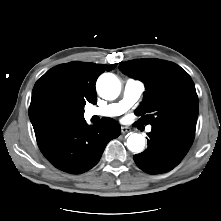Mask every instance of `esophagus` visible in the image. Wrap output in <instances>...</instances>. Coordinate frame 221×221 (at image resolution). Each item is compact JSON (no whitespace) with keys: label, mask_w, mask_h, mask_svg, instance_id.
Returning <instances> with one entry per match:
<instances>
[{"label":"esophagus","mask_w":221,"mask_h":221,"mask_svg":"<svg viewBox=\"0 0 221 221\" xmlns=\"http://www.w3.org/2000/svg\"><path fill=\"white\" fill-rule=\"evenodd\" d=\"M131 131V129L129 128V127H127V126H122L121 127V132L123 133V134H126V133H128V132H130Z\"/></svg>","instance_id":"1"}]
</instances>
